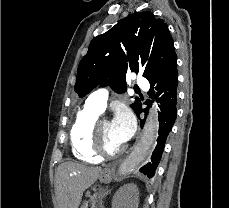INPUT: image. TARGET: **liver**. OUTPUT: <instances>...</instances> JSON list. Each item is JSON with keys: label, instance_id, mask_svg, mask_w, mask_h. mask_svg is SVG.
<instances>
[{"label": "liver", "instance_id": "obj_1", "mask_svg": "<svg viewBox=\"0 0 229 208\" xmlns=\"http://www.w3.org/2000/svg\"><path fill=\"white\" fill-rule=\"evenodd\" d=\"M102 168H90L84 164L64 162L56 172V196L58 208H79L83 192L92 186Z\"/></svg>", "mask_w": 229, "mask_h": 208}]
</instances>
